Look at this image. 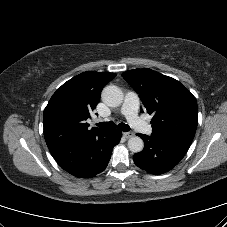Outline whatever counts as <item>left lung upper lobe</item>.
<instances>
[{
  "label": "left lung upper lobe",
  "mask_w": 227,
  "mask_h": 227,
  "mask_svg": "<svg viewBox=\"0 0 227 227\" xmlns=\"http://www.w3.org/2000/svg\"><path fill=\"white\" fill-rule=\"evenodd\" d=\"M123 78L153 114V133L192 143L198 123L195 97L179 81L151 69L129 70Z\"/></svg>",
  "instance_id": "left-lung-upper-lobe-1"
}]
</instances>
